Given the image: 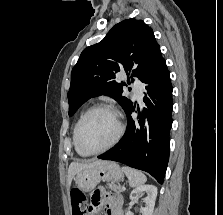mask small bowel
I'll return each mask as SVG.
<instances>
[{
  "instance_id": "obj_1",
  "label": "small bowel",
  "mask_w": 223,
  "mask_h": 215,
  "mask_svg": "<svg viewBox=\"0 0 223 215\" xmlns=\"http://www.w3.org/2000/svg\"><path fill=\"white\" fill-rule=\"evenodd\" d=\"M101 210L105 215H122L121 198L103 189L94 190L91 195L90 213L87 215H94Z\"/></svg>"
}]
</instances>
